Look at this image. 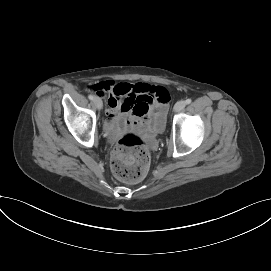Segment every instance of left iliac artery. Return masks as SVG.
<instances>
[{"label":"left iliac artery","instance_id":"44dca946","mask_svg":"<svg viewBox=\"0 0 271 271\" xmlns=\"http://www.w3.org/2000/svg\"><path fill=\"white\" fill-rule=\"evenodd\" d=\"M191 99H187L185 102H186V104H190L191 103Z\"/></svg>","mask_w":271,"mask_h":271}]
</instances>
